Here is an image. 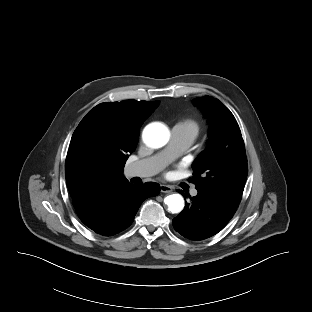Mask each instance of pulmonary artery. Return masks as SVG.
<instances>
[{"mask_svg":"<svg viewBox=\"0 0 312 312\" xmlns=\"http://www.w3.org/2000/svg\"><path fill=\"white\" fill-rule=\"evenodd\" d=\"M192 144V140L176 127L171 131V139L167 148L159 154L150 158L143 159L133 163L129 168L132 176L140 178L149 177L158 173L164 165L179 153L186 150ZM193 196L198 194L196 189L191 191Z\"/></svg>","mask_w":312,"mask_h":312,"instance_id":"e3ab8cb5","label":"pulmonary artery"}]
</instances>
